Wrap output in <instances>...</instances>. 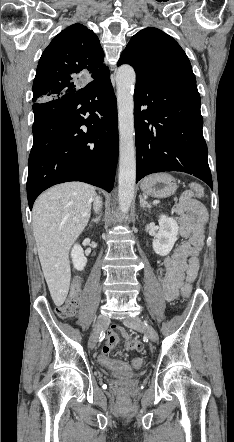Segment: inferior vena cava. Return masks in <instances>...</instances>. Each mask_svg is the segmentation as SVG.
<instances>
[{
  "label": "inferior vena cava",
  "instance_id": "1",
  "mask_svg": "<svg viewBox=\"0 0 234 442\" xmlns=\"http://www.w3.org/2000/svg\"><path fill=\"white\" fill-rule=\"evenodd\" d=\"M101 206H102L101 198L98 196H95L94 203H93L94 211L97 212L101 208Z\"/></svg>",
  "mask_w": 234,
  "mask_h": 442
}]
</instances>
